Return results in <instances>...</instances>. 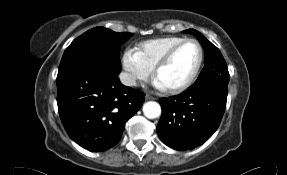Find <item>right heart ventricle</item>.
<instances>
[{
    "label": "right heart ventricle",
    "mask_w": 287,
    "mask_h": 175,
    "mask_svg": "<svg viewBox=\"0 0 287 175\" xmlns=\"http://www.w3.org/2000/svg\"><path fill=\"white\" fill-rule=\"evenodd\" d=\"M185 38L177 36H166L150 39L139 43L136 52L140 59L150 68L154 69L161 58L176 44Z\"/></svg>",
    "instance_id": "right-heart-ventricle-1"
}]
</instances>
